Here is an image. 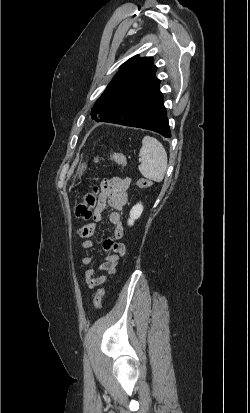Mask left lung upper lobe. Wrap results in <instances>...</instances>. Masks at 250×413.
<instances>
[{"label": "left lung upper lobe", "instance_id": "5c2ea615", "mask_svg": "<svg viewBox=\"0 0 250 413\" xmlns=\"http://www.w3.org/2000/svg\"><path fill=\"white\" fill-rule=\"evenodd\" d=\"M156 70L151 57L138 58L136 55L127 60L96 101L91 112L92 118L99 121L109 114L113 115L120 108L122 101L134 92L137 85L158 81L155 76Z\"/></svg>", "mask_w": 250, "mask_h": 413}]
</instances>
